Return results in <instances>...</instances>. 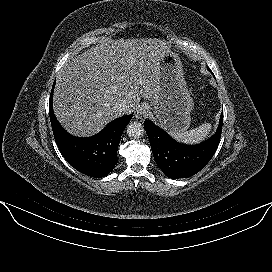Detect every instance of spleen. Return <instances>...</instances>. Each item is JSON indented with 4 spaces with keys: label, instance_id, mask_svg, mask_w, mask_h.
Returning a JSON list of instances; mask_svg holds the SVG:
<instances>
[{
    "label": "spleen",
    "instance_id": "obj_1",
    "mask_svg": "<svg viewBox=\"0 0 272 272\" xmlns=\"http://www.w3.org/2000/svg\"><path fill=\"white\" fill-rule=\"evenodd\" d=\"M211 127L210 123H204L189 131L170 132V135L180 142L193 144L204 140L209 135Z\"/></svg>",
    "mask_w": 272,
    "mask_h": 272
}]
</instances>
